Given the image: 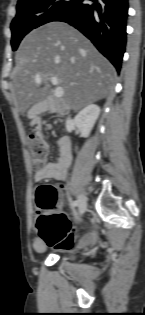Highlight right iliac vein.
Instances as JSON below:
<instances>
[{
    "label": "right iliac vein",
    "mask_w": 145,
    "mask_h": 315,
    "mask_svg": "<svg viewBox=\"0 0 145 315\" xmlns=\"http://www.w3.org/2000/svg\"><path fill=\"white\" fill-rule=\"evenodd\" d=\"M86 208H87V198H86V196L80 194L78 196V211H79V214L82 215L86 211Z\"/></svg>",
    "instance_id": "obj_1"
}]
</instances>
